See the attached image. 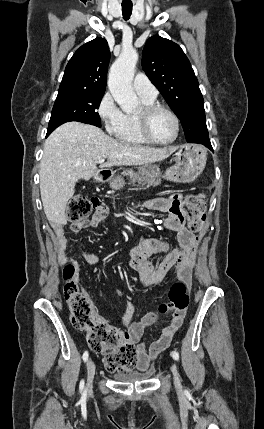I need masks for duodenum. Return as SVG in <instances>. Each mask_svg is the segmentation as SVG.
<instances>
[{
	"label": "duodenum",
	"instance_id": "duodenum-1",
	"mask_svg": "<svg viewBox=\"0 0 264 429\" xmlns=\"http://www.w3.org/2000/svg\"><path fill=\"white\" fill-rule=\"evenodd\" d=\"M94 178L96 180H101L103 178V175L101 173H97V174H95ZM142 257H143L142 255H138L139 260H142Z\"/></svg>",
	"mask_w": 264,
	"mask_h": 429
}]
</instances>
